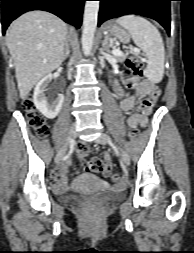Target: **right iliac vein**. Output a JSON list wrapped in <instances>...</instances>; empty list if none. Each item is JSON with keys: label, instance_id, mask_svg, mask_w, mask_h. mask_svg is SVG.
<instances>
[{"label": "right iliac vein", "instance_id": "63e3f726", "mask_svg": "<svg viewBox=\"0 0 194 253\" xmlns=\"http://www.w3.org/2000/svg\"><path fill=\"white\" fill-rule=\"evenodd\" d=\"M76 137V128L75 126H72L70 129H69V132H68V138H67V142L66 144L58 151L56 157H55V163L56 164H59L61 162V160L63 159L65 153H66V150L69 146V144L74 141Z\"/></svg>", "mask_w": 194, "mask_h": 253}]
</instances>
